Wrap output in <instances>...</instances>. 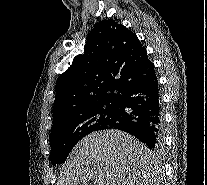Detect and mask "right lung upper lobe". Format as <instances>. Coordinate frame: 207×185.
I'll use <instances>...</instances> for the list:
<instances>
[{"label":"right lung upper lobe","mask_w":207,"mask_h":185,"mask_svg":"<svg viewBox=\"0 0 207 185\" xmlns=\"http://www.w3.org/2000/svg\"><path fill=\"white\" fill-rule=\"evenodd\" d=\"M154 74L145 48L132 31L114 20L100 21L91 30L84 53L57 80L53 126L116 103L129 84Z\"/></svg>","instance_id":"cb5924a9"}]
</instances>
